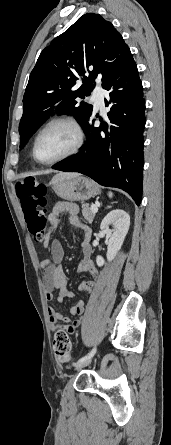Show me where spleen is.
Returning <instances> with one entry per match:
<instances>
[{"instance_id":"obj_1","label":"spleen","mask_w":171,"mask_h":445,"mask_svg":"<svg viewBox=\"0 0 171 445\" xmlns=\"http://www.w3.org/2000/svg\"><path fill=\"white\" fill-rule=\"evenodd\" d=\"M108 196H109L110 198H112L113 193H112V192H109V193H108Z\"/></svg>"}]
</instances>
